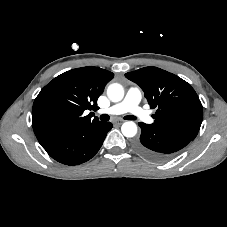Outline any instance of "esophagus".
<instances>
[{
  "label": "esophagus",
  "mask_w": 227,
  "mask_h": 227,
  "mask_svg": "<svg viewBox=\"0 0 227 227\" xmlns=\"http://www.w3.org/2000/svg\"><path fill=\"white\" fill-rule=\"evenodd\" d=\"M123 122L124 121L123 120H120V119L115 121V123L118 124V125L122 124Z\"/></svg>",
  "instance_id": "1"
}]
</instances>
